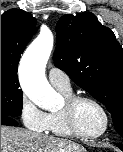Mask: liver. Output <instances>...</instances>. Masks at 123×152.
Segmentation results:
<instances>
[{
  "label": "liver",
  "mask_w": 123,
  "mask_h": 152,
  "mask_svg": "<svg viewBox=\"0 0 123 152\" xmlns=\"http://www.w3.org/2000/svg\"><path fill=\"white\" fill-rule=\"evenodd\" d=\"M1 152H86V150L66 139L1 126Z\"/></svg>",
  "instance_id": "obj_1"
}]
</instances>
